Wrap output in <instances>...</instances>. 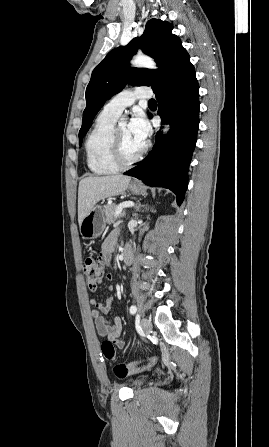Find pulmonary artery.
I'll return each mask as SVG.
<instances>
[{
	"instance_id": "obj_1",
	"label": "pulmonary artery",
	"mask_w": 269,
	"mask_h": 447,
	"mask_svg": "<svg viewBox=\"0 0 269 447\" xmlns=\"http://www.w3.org/2000/svg\"><path fill=\"white\" fill-rule=\"evenodd\" d=\"M149 97L150 94L143 87L127 89L113 96L104 106L103 111L117 118L127 107L134 104L138 99Z\"/></svg>"
}]
</instances>
